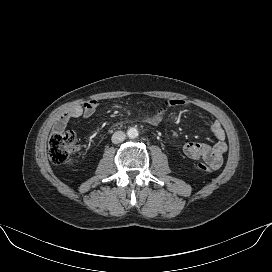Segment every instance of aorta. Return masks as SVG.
Instances as JSON below:
<instances>
[{
    "label": "aorta",
    "mask_w": 272,
    "mask_h": 272,
    "mask_svg": "<svg viewBox=\"0 0 272 272\" xmlns=\"http://www.w3.org/2000/svg\"><path fill=\"white\" fill-rule=\"evenodd\" d=\"M127 135L130 139H134L138 136V130L134 127L127 130Z\"/></svg>",
    "instance_id": "aorta-1"
}]
</instances>
